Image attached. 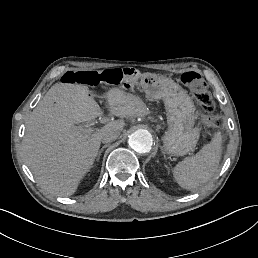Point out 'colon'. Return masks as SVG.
I'll list each match as a JSON object with an SVG mask.
<instances>
[{
    "mask_svg": "<svg viewBox=\"0 0 258 258\" xmlns=\"http://www.w3.org/2000/svg\"><path fill=\"white\" fill-rule=\"evenodd\" d=\"M62 81L66 84L84 85L90 88L111 87L119 84L121 73L118 68L66 72ZM181 82L192 89L196 100L209 112L214 110L211 93L197 72L189 71L181 76Z\"/></svg>",
    "mask_w": 258,
    "mask_h": 258,
    "instance_id": "obj_1",
    "label": "colon"
}]
</instances>
